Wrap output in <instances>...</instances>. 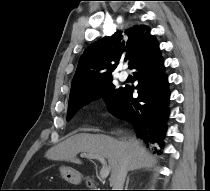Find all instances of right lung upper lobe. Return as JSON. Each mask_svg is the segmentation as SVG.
I'll return each instance as SVG.
<instances>
[{
    "mask_svg": "<svg viewBox=\"0 0 210 191\" xmlns=\"http://www.w3.org/2000/svg\"><path fill=\"white\" fill-rule=\"evenodd\" d=\"M154 39L148 27L134 25L91 44L80 57L69 100L90 92L112 78L121 59L128 60L130 68Z\"/></svg>",
    "mask_w": 210,
    "mask_h": 191,
    "instance_id": "cb5924a9",
    "label": "right lung upper lobe"
}]
</instances>
